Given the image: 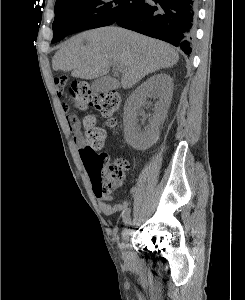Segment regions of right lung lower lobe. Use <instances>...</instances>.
<instances>
[{
    "mask_svg": "<svg viewBox=\"0 0 245 300\" xmlns=\"http://www.w3.org/2000/svg\"><path fill=\"white\" fill-rule=\"evenodd\" d=\"M197 0H147L129 15L115 22L119 26L166 41L192 52ZM65 28L64 21L57 23Z\"/></svg>",
    "mask_w": 245,
    "mask_h": 300,
    "instance_id": "obj_1",
    "label": "right lung lower lobe"
}]
</instances>
